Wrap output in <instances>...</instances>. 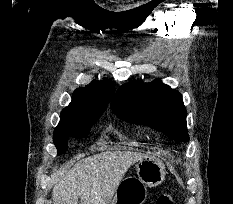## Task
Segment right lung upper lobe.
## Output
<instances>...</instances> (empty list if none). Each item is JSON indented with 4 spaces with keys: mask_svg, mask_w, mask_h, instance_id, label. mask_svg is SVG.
Returning a JSON list of instances; mask_svg holds the SVG:
<instances>
[{
    "mask_svg": "<svg viewBox=\"0 0 233 204\" xmlns=\"http://www.w3.org/2000/svg\"><path fill=\"white\" fill-rule=\"evenodd\" d=\"M114 93L113 84L93 81L74 91L72 102L61 112V120L55 129L94 115H102Z\"/></svg>",
    "mask_w": 233,
    "mask_h": 204,
    "instance_id": "right-lung-upper-lobe-1",
    "label": "right lung upper lobe"
}]
</instances>
